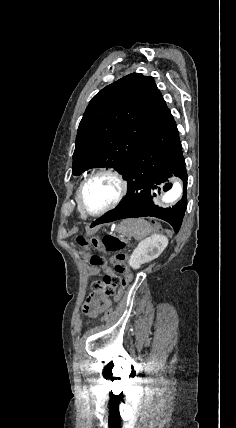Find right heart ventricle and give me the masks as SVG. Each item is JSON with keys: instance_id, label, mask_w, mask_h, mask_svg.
<instances>
[{"instance_id": "right-heart-ventricle-1", "label": "right heart ventricle", "mask_w": 236, "mask_h": 428, "mask_svg": "<svg viewBox=\"0 0 236 428\" xmlns=\"http://www.w3.org/2000/svg\"><path fill=\"white\" fill-rule=\"evenodd\" d=\"M74 197H75V200H76V202H77V206H78V214H79V216L81 217V218H84L85 217V214H84V212L81 210V208H80V205H79V202H78V186L75 188V190H74Z\"/></svg>"}]
</instances>
